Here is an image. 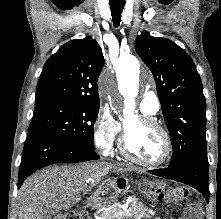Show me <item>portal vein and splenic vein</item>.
Masks as SVG:
<instances>
[{"label": "portal vein and splenic vein", "instance_id": "1", "mask_svg": "<svg viewBox=\"0 0 221 219\" xmlns=\"http://www.w3.org/2000/svg\"><path fill=\"white\" fill-rule=\"evenodd\" d=\"M124 212H128V210H125ZM124 212H120V215L124 214Z\"/></svg>", "mask_w": 221, "mask_h": 219}]
</instances>
